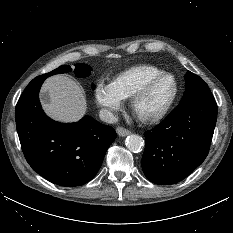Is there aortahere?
<instances>
[{"label": "aorta", "instance_id": "1", "mask_svg": "<svg viewBox=\"0 0 233 233\" xmlns=\"http://www.w3.org/2000/svg\"><path fill=\"white\" fill-rule=\"evenodd\" d=\"M126 147L131 152H140L144 147V140L137 134H131L126 138Z\"/></svg>", "mask_w": 233, "mask_h": 233}]
</instances>
